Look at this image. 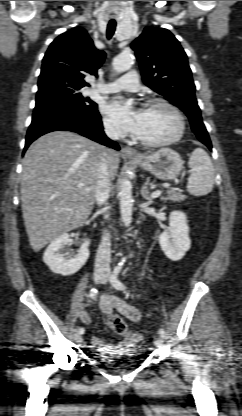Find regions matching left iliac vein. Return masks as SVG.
Returning <instances> with one entry per match:
<instances>
[{"mask_svg": "<svg viewBox=\"0 0 242 416\" xmlns=\"http://www.w3.org/2000/svg\"><path fill=\"white\" fill-rule=\"evenodd\" d=\"M107 281H108V278H107V275H105V276H104V278H103L100 282H101V283H103V284H106V283H107ZM154 343H155V345H156V346H162V345H163V343H164V339H163V337H162L161 335H158V336L155 338Z\"/></svg>", "mask_w": 242, "mask_h": 416, "instance_id": "obj_1", "label": "left iliac vein"}]
</instances>
